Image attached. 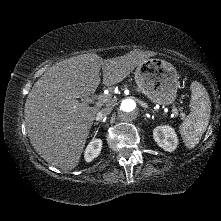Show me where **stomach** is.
<instances>
[{
	"instance_id": "1",
	"label": "stomach",
	"mask_w": 221,
	"mask_h": 221,
	"mask_svg": "<svg viewBox=\"0 0 221 221\" xmlns=\"http://www.w3.org/2000/svg\"><path fill=\"white\" fill-rule=\"evenodd\" d=\"M179 76L168 61L151 58L139 64L135 82L139 90L153 103L169 105L174 102L179 86Z\"/></svg>"
}]
</instances>
